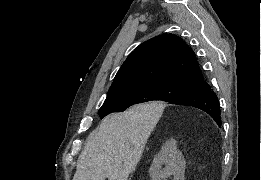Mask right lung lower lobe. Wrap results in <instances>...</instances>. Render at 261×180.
I'll return each mask as SVG.
<instances>
[{
    "label": "right lung lower lobe",
    "instance_id": "1",
    "mask_svg": "<svg viewBox=\"0 0 261 180\" xmlns=\"http://www.w3.org/2000/svg\"><path fill=\"white\" fill-rule=\"evenodd\" d=\"M201 86L199 91L177 97L169 103L184 104L201 109L209 114L218 126H221V110L218 97L206 81L201 83Z\"/></svg>",
    "mask_w": 261,
    "mask_h": 180
}]
</instances>
